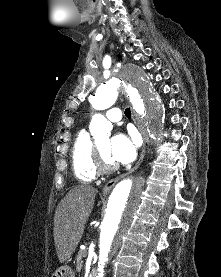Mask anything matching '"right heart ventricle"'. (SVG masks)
I'll return each instance as SVG.
<instances>
[{"label": "right heart ventricle", "mask_w": 221, "mask_h": 277, "mask_svg": "<svg viewBox=\"0 0 221 277\" xmlns=\"http://www.w3.org/2000/svg\"><path fill=\"white\" fill-rule=\"evenodd\" d=\"M75 178L83 183L93 181L98 172L94 165V143L86 130L77 133L71 150Z\"/></svg>", "instance_id": "right-heart-ventricle-1"}]
</instances>
